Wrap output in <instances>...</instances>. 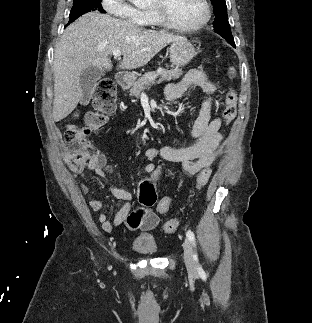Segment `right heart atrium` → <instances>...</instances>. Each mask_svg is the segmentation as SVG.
Instances as JSON below:
<instances>
[{"instance_id": "1", "label": "right heart atrium", "mask_w": 312, "mask_h": 323, "mask_svg": "<svg viewBox=\"0 0 312 323\" xmlns=\"http://www.w3.org/2000/svg\"><path fill=\"white\" fill-rule=\"evenodd\" d=\"M105 13H114L115 17H122V22H140L142 10L133 6L129 0H103Z\"/></svg>"}]
</instances>
